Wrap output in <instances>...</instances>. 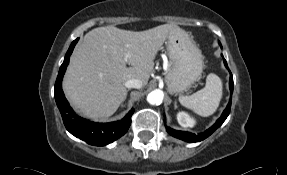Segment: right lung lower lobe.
<instances>
[{
    "mask_svg": "<svg viewBox=\"0 0 287 175\" xmlns=\"http://www.w3.org/2000/svg\"><path fill=\"white\" fill-rule=\"evenodd\" d=\"M78 39L74 40L66 55L55 83V100L62 115L63 123L66 129L75 137L80 138L88 144L95 146H104L123 136L130 127L131 116L134 109L121 120L111 123H95L78 116L70 107L62 91V78L66 67L69 64V57L74 49Z\"/></svg>",
    "mask_w": 287,
    "mask_h": 175,
    "instance_id": "obj_1",
    "label": "right lung lower lobe"
}]
</instances>
